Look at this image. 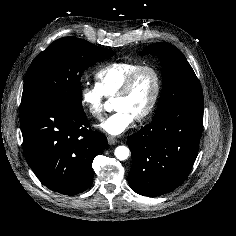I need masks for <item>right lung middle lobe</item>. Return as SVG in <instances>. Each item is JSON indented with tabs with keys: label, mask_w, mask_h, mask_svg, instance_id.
I'll use <instances>...</instances> for the list:
<instances>
[{
	"label": "right lung middle lobe",
	"mask_w": 236,
	"mask_h": 236,
	"mask_svg": "<svg viewBox=\"0 0 236 236\" xmlns=\"http://www.w3.org/2000/svg\"><path fill=\"white\" fill-rule=\"evenodd\" d=\"M114 54L109 49L75 37L54 41L31 63L25 77L21 106L49 101L81 108L80 79L83 71Z\"/></svg>",
	"instance_id": "dd1d6c3e"
}]
</instances>
